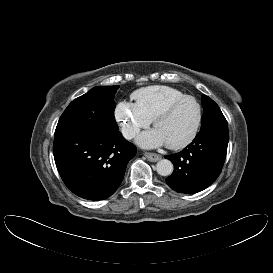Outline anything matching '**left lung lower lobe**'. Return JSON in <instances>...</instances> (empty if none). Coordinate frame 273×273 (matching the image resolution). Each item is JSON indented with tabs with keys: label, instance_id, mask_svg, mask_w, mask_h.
<instances>
[{
	"label": "left lung lower lobe",
	"instance_id": "left-lung-lower-lobe-1",
	"mask_svg": "<svg viewBox=\"0 0 273 273\" xmlns=\"http://www.w3.org/2000/svg\"><path fill=\"white\" fill-rule=\"evenodd\" d=\"M228 126L201 130L181 152L165 156L174 165L166 178L170 188L179 193H197L219 176L227 153Z\"/></svg>",
	"mask_w": 273,
	"mask_h": 273
}]
</instances>
